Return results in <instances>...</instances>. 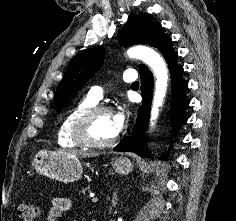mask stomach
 I'll list each match as a JSON object with an SVG mask.
<instances>
[{
    "label": "stomach",
    "mask_w": 236,
    "mask_h": 221,
    "mask_svg": "<svg viewBox=\"0 0 236 221\" xmlns=\"http://www.w3.org/2000/svg\"><path fill=\"white\" fill-rule=\"evenodd\" d=\"M32 166L44 176L64 183L74 182L83 174L82 162L78 156L62 152H38L33 159ZM114 172L127 175L132 171L130 159L120 157L112 162Z\"/></svg>",
    "instance_id": "obj_1"
}]
</instances>
